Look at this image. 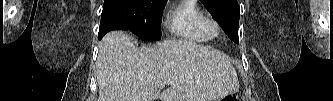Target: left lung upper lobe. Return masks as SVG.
I'll list each match as a JSON object with an SVG mask.
<instances>
[{
	"label": "left lung upper lobe",
	"instance_id": "5c2ea615",
	"mask_svg": "<svg viewBox=\"0 0 333 101\" xmlns=\"http://www.w3.org/2000/svg\"><path fill=\"white\" fill-rule=\"evenodd\" d=\"M228 36L238 43L240 8L237 0H200Z\"/></svg>",
	"mask_w": 333,
	"mask_h": 101
}]
</instances>
